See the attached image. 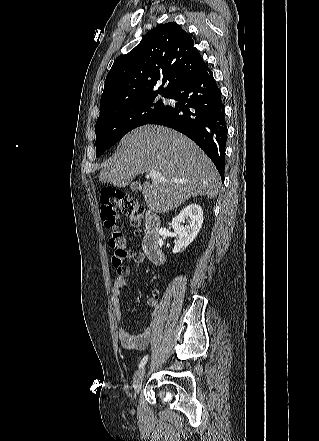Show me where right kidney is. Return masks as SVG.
<instances>
[{
    "instance_id": "obj_1",
    "label": "right kidney",
    "mask_w": 319,
    "mask_h": 441,
    "mask_svg": "<svg viewBox=\"0 0 319 441\" xmlns=\"http://www.w3.org/2000/svg\"><path fill=\"white\" fill-rule=\"evenodd\" d=\"M203 223L200 205L191 203L172 220V228L177 235L173 253L185 249L197 236Z\"/></svg>"
}]
</instances>
